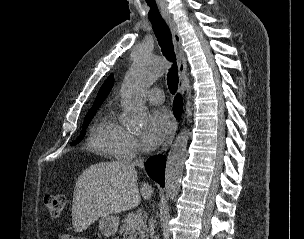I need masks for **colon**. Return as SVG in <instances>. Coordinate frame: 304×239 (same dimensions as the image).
<instances>
[{
	"label": "colon",
	"mask_w": 304,
	"mask_h": 239,
	"mask_svg": "<svg viewBox=\"0 0 304 239\" xmlns=\"http://www.w3.org/2000/svg\"><path fill=\"white\" fill-rule=\"evenodd\" d=\"M44 204L53 217H59L67 206V198L63 194H49L44 197Z\"/></svg>",
	"instance_id": "obj_1"
}]
</instances>
